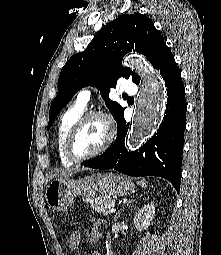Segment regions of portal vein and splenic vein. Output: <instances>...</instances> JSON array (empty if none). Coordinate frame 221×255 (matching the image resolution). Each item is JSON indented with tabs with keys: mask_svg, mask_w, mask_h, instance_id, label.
I'll return each instance as SVG.
<instances>
[{
	"mask_svg": "<svg viewBox=\"0 0 221 255\" xmlns=\"http://www.w3.org/2000/svg\"><path fill=\"white\" fill-rule=\"evenodd\" d=\"M110 211H111V212H115L116 209H115V208H111Z\"/></svg>",
	"mask_w": 221,
	"mask_h": 255,
	"instance_id": "portal-vein-and-splenic-vein-1",
	"label": "portal vein and splenic vein"
}]
</instances>
